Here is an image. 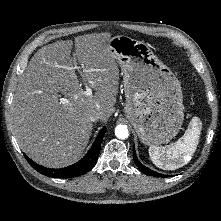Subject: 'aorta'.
<instances>
[{"label": "aorta", "mask_w": 221, "mask_h": 221, "mask_svg": "<svg viewBox=\"0 0 221 221\" xmlns=\"http://www.w3.org/2000/svg\"><path fill=\"white\" fill-rule=\"evenodd\" d=\"M115 135L119 138V139H126L129 136V131L126 125H117L115 128Z\"/></svg>", "instance_id": "obj_1"}]
</instances>
